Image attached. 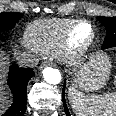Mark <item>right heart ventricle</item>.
<instances>
[{"label": "right heart ventricle", "mask_w": 116, "mask_h": 116, "mask_svg": "<svg viewBox=\"0 0 116 116\" xmlns=\"http://www.w3.org/2000/svg\"><path fill=\"white\" fill-rule=\"evenodd\" d=\"M76 19L50 18L30 23L23 35V42L30 50L40 54H50L56 50L65 29Z\"/></svg>", "instance_id": "e07e8e85"}]
</instances>
